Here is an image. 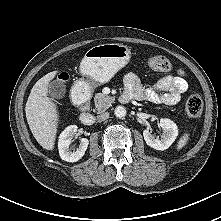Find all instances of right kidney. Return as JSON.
I'll list each match as a JSON object with an SVG mask.
<instances>
[{
	"instance_id": "ca27d5eb",
	"label": "right kidney",
	"mask_w": 221,
	"mask_h": 221,
	"mask_svg": "<svg viewBox=\"0 0 221 221\" xmlns=\"http://www.w3.org/2000/svg\"><path fill=\"white\" fill-rule=\"evenodd\" d=\"M78 127L76 125H70L62 131V133L59 136L58 141V149H59V155L62 160L67 162H77L80 160L87 150L89 140L87 138H82L80 140V145L76 149V151H71L69 148L72 139L74 135L77 132Z\"/></svg>"
}]
</instances>
